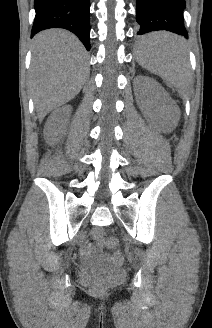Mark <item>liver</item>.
I'll return each instance as SVG.
<instances>
[{"mask_svg": "<svg viewBox=\"0 0 212 328\" xmlns=\"http://www.w3.org/2000/svg\"><path fill=\"white\" fill-rule=\"evenodd\" d=\"M88 74L87 54L75 35L63 29H50L36 35L30 87L39 121L73 99Z\"/></svg>", "mask_w": 212, "mask_h": 328, "instance_id": "obj_1", "label": "liver"}]
</instances>
